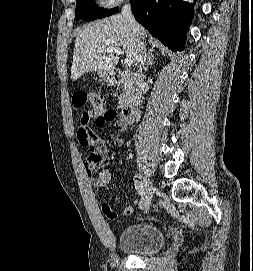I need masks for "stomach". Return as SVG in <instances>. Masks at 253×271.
<instances>
[{
  "label": "stomach",
  "instance_id": "stomach-1",
  "mask_svg": "<svg viewBox=\"0 0 253 271\" xmlns=\"http://www.w3.org/2000/svg\"><path fill=\"white\" fill-rule=\"evenodd\" d=\"M99 75L106 83L111 84L114 82L113 74L111 72H99Z\"/></svg>",
  "mask_w": 253,
  "mask_h": 271
}]
</instances>
